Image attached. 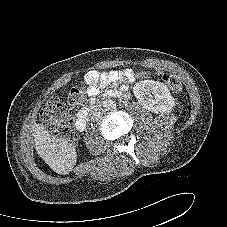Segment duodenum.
<instances>
[{
    "mask_svg": "<svg viewBox=\"0 0 227 227\" xmlns=\"http://www.w3.org/2000/svg\"><path fill=\"white\" fill-rule=\"evenodd\" d=\"M107 96H110V94H107ZM99 105V102L93 103L92 105H90L89 107L84 108L76 117L75 119V126L77 128V130L79 131H83L85 130L87 123H88V119H89V115L92 112V110H94L95 108H97Z\"/></svg>",
    "mask_w": 227,
    "mask_h": 227,
    "instance_id": "duodenum-1",
    "label": "duodenum"
}]
</instances>
